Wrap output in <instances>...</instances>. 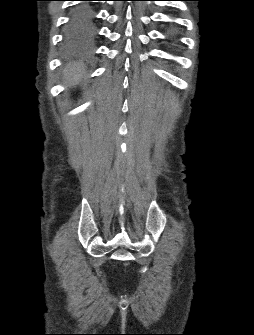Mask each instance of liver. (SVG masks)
Returning <instances> with one entry per match:
<instances>
[{"mask_svg":"<svg viewBox=\"0 0 254 335\" xmlns=\"http://www.w3.org/2000/svg\"><path fill=\"white\" fill-rule=\"evenodd\" d=\"M86 76L82 63L68 64L64 70L65 83L69 86L76 85Z\"/></svg>","mask_w":254,"mask_h":335,"instance_id":"obj_1","label":"liver"}]
</instances>
